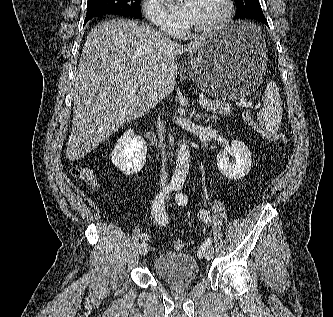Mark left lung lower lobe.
Wrapping results in <instances>:
<instances>
[{
    "label": "left lung lower lobe",
    "mask_w": 333,
    "mask_h": 317,
    "mask_svg": "<svg viewBox=\"0 0 333 317\" xmlns=\"http://www.w3.org/2000/svg\"><path fill=\"white\" fill-rule=\"evenodd\" d=\"M235 18L260 20L261 22L268 25L267 20L265 19V16L263 15V13L254 12V13H250V14L243 15V16H240V17H235Z\"/></svg>",
    "instance_id": "left-lung-lower-lobe-1"
}]
</instances>
